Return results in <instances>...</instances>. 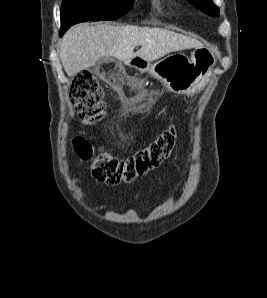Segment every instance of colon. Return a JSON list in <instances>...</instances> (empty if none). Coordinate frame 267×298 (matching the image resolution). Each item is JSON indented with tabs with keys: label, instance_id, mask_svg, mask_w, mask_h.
Masks as SVG:
<instances>
[{
	"label": "colon",
	"instance_id": "5ec220e1",
	"mask_svg": "<svg viewBox=\"0 0 267 298\" xmlns=\"http://www.w3.org/2000/svg\"><path fill=\"white\" fill-rule=\"evenodd\" d=\"M69 99L85 123H95L102 117V90L96 77L90 72H80L75 76L70 87ZM176 138L175 127L170 126L147 147L125 159H117L106 152L94 153L90 143L83 137H75L73 147L81 160L91 164L92 175L96 180L108 185H117L130 183L160 166L169 157Z\"/></svg>",
	"mask_w": 267,
	"mask_h": 298
}]
</instances>
